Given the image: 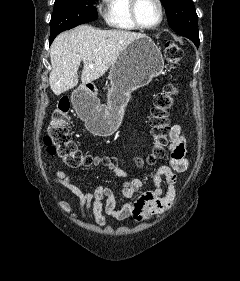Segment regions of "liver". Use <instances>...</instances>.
<instances>
[{"label": "liver", "mask_w": 240, "mask_h": 281, "mask_svg": "<svg viewBox=\"0 0 240 281\" xmlns=\"http://www.w3.org/2000/svg\"><path fill=\"white\" fill-rule=\"evenodd\" d=\"M143 36L124 30H100L90 25L60 33L50 48V88L55 95L74 88L78 84L77 72L81 62L84 63L83 84L99 79L131 42Z\"/></svg>", "instance_id": "obj_1"}]
</instances>
